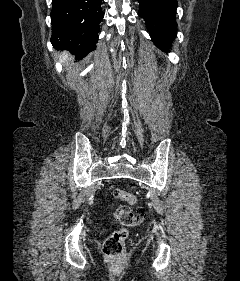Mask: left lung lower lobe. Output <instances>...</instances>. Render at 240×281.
Instances as JSON below:
<instances>
[{"instance_id": "1", "label": "left lung lower lobe", "mask_w": 240, "mask_h": 281, "mask_svg": "<svg viewBox=\"0 0 240 281\" xmlns=\"http://www.w3.org/2000/svg\"><path fill=\"white\" fill-rule=\"evenodd\" d=\"M138 14L145 20L153 43L163 51L169 50L175 38L177 0H138Z\"/></svg>"}]
</instances>
